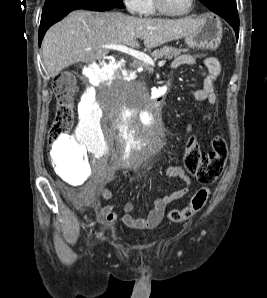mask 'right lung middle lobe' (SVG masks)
<instances>
[{"label":"right lung middle lobe","instance_id":"right-lung-middle-lobe-1","mask_svg":"<svg viewBox=\"0 0 267 298\" xmlns=\"http://www.w3.org/2000/svg\"><path fill=\"white\" fill-rule=\"evenodd\" d=\"M62 0H46L44 4L43 11L48 10L51 6L55 5L56 3L60 2ZM102 3H109L114 5L115 7L118 8H123V2L122 0H99Z\"/></svg>","mask_w":267,"mask_h":298}]
</instances>
